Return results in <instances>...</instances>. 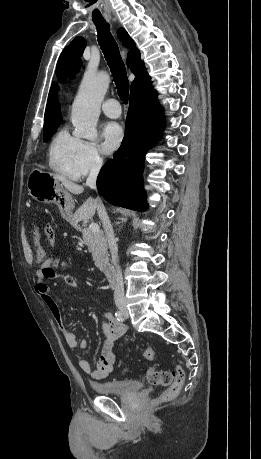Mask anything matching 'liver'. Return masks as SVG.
<instances>
[{
	"mask_svg": "<svg viewBox=\"0 0 261 459\" xmlns=\"http://www.w3.org/2000/svg\"><path fill=\"white\" fill-rule=\"evenodd\" d=\"M53 176L61 183V185L71 192L72 194L78 195L83 193L84 188L81 185H78L74 182L67 180L66 178L53 174ZM96 206L95 200L92 197H89L76 211L74 214L73 220L75 222L91 219L95 214ZM25 258L29 264H32L33 257L32 252L26 243L24 245Z\"/></svg>",
	"mask_w": 261,
	"mask_h": 459,
	"instance_id": "liver-1",
	"label": "liver"
}]
</instances>
